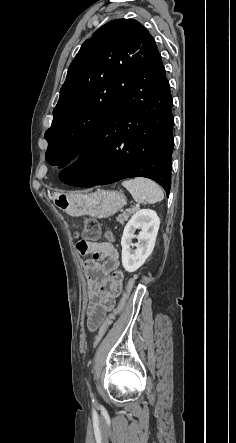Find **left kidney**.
Returning a JSON list of instances; mask_svg holds the SVG:
<instances>
[{"mask_svg": "<svg viewBox=\"0 0 236 443\" xmlns=\"http://www.w3.org/2000/svg\"><path fill=\"white\" fill-rule=\"evenodd\" d=\"M159 226V217L155 211L150 209L139 210L131 217L124 228L121 239L122 265L127 272H135L151 255ZM136 229H141V231L137 236L136 249L132 250V239Z\"/></svg>", "mask_w": 236, "mask_h": 443, "instance_id": "1", "label": "left kidney"}]
</instances>
